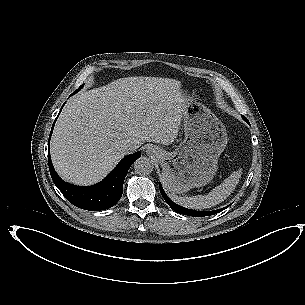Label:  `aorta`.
I'll return each instance as SVG.
<instances>
[{"label": "aorta", "mask_w": 305, "mask_h": 305, "mask_svg": "<svg viewBox=\"0 0 305 305\" xmlns=\"http://www.w3.org/2000/svg\"><path fill=\"white\" fill-rule=\"evenodd\" d=\"M134 170L139 175H149L154 170V164L149 158L142 156L134 162Z\"/></svg>", "instance_id": "1"}]
</instances>
